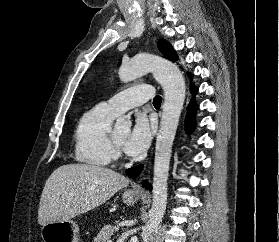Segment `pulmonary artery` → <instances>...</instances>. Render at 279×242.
Listing matches in <instances>:
<instances>
[{
  "label": "pulmonary artery",
  "instance_id": "obj_1",
  "mask_svg": "<svg viewBox=\"0 0 279 242\" xmlns=\"http://www.w3.org/2000/svg\"><path fill=\"white\" fill-rule=\"evenodd\" d=\"M152 96L153 88L150 85L142 84L117 93L104 104L115 114L119 115L129 108L147 102Z\"/></svg>",
  "mask_w": 279,
  "mask_h": 242
}]
</instances>
